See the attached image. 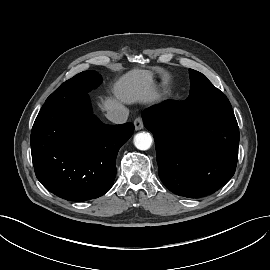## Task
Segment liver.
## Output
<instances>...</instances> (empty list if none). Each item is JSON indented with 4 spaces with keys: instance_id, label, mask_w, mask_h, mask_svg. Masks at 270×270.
I'll return each mask as SVG.
<instances>
[{
    "instance_id": "obj_1",
    "label": "liver",
    "mask_w": 270,
    "mask_h": 270,
    "mask_svg": "<svg viewBox=\"0 0 270 270\" xmlns=\"http://www.w3.org/2000/svg\"><path fill=\"white\" fill-rule=\"evenodd\" d=\"M115 98L103 102V110L109 111L123 104H152L161 99L151 71L133 69L114 84Z\"/></svg>"
}]
</instances>
